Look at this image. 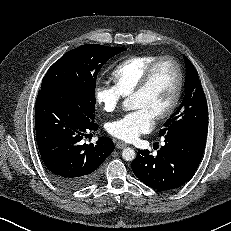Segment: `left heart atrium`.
Segmentation results:
<instances>
[{
    "instance_id": "39dd6f15",
    "label": "left heart atrium",
    "mask_w": 231,
    "mask_h": 231,
    "mask_svg": "<svg viewBox=\"0 0 231 231\" xmlns=\"http://www.w3.org/2000/svg\"><path fill=\"white\" fill-rule=\"evenodd\" d=\"M154 118L155 116L147 108H136L108 123L107 131L117 139L130 142L148 132L154 125Z\"/></svg>"
}]
</instances>
